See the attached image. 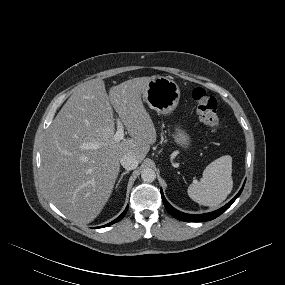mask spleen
Returning <instances> with one entry per match:
<instances>
[{
  "mask_svg": "<svg viewBox=\"0 0 285 285\" xmlns=\"http://www.w3.org/2000/svg\"><path fill=\"white\" fill-rule=\"evenodd\" d=\"M232 157L222 156L211 162L204 170L200 181L188 187L189 197L200 205L218 206L231 193Z\"/></svg>",
  "mask_w": 285,
  "mask_h": 285,
  "instance_id": "3e777b00",
  "label": "spleen"
}]
</instances>
